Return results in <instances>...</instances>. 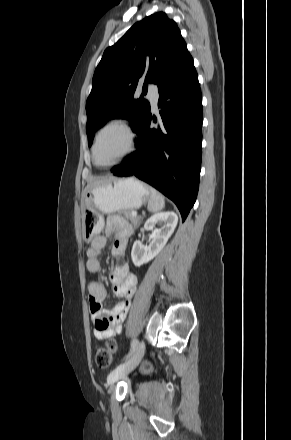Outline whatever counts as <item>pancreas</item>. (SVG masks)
I'll list each match as a JSON object with an SVG mask.
<instances>
[{"instance_id": "1", "label": "pancreas", "mask_w": 291, "mask_h": 440, "mask_svg": "<svg viewBox=\"0 0 291 440\" xmlns=\"http://www.w3.org/2000/svg\"><path fill=\"white\" fill-rule=\"evenodd\" d=\"M119 214L124 215V217L128 219L134 226H137L140 223V218L133 217L130 210H120Z\"/></svg>"}]
</instances>
